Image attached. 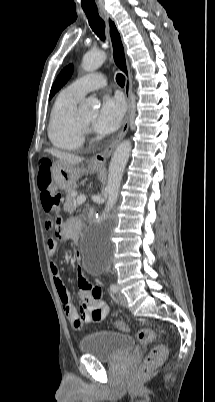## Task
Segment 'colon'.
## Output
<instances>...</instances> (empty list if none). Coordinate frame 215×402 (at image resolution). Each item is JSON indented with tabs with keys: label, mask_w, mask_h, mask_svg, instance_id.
Listing matches in <instances>:
<instances>
[{
	"label": "colon",
	"mask_w": 215,
	"mask_h": 402,
	"mask_svg": "<svg viewBox=\"0 0 215 402\" xmlns=\"http://www.w3.org/2000/svg\"><path fill=\"white\" fill-rule=\"evenodd\" d=\"M38 172H37V186L40 190V198L43 209L46 212H53L56 210L60 203V195L53 188L52 174H51V156H38ZM53 222L48 220L46 227L50 229ZM118 328L122 331H127L128 326L123 322H118ZM156 338V332L152 329H141L137 332V339L140 343H150ZM167 355V348L165 345H157L151 349L147 354L141 368L142 374H147L152 369L159 366Z\"/></svg>",
	"instance_id": "1"
}]
</instances>
